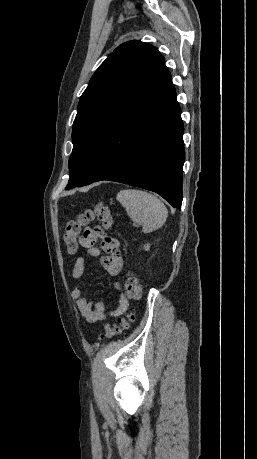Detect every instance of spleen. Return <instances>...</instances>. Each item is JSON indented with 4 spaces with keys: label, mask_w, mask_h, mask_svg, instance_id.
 I'll return each mask as SVG.
<instances>
[{
    "label": "spleen",
    "mask_w": 257,
    "mask_h": 459,
    "mask_svg": "<svg viewBox=\"0 0 257 459\" xmlns=\"http://www.w3.org/2000/svg\"><path fill=\"white\" fill-rule=\"evenodd\" d=\"M117 200L125 208L131 220L142 225L144 233L162 227L168 216L163 202L155 195L142 190H121L117 194Z\"/></svg>",
    "instance_id": "spleen-1"
}]
</instances>
